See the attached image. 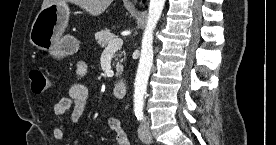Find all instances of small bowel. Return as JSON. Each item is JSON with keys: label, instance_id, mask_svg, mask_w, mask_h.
Returning a JSON list of instances; mask_svg holds the SVG:
<instances>
[{"label": "small bowel", "instance_id": "obj_1", "mask_svg": "<svg viewBox=\"0 0 276 145\" xmlns=\"http://www.w3.org/2000/svg\"><path fill=\"white\" fill-rule=\"evenodd\" d=\"M77 75L83 77L87 72V65L79 63ZM89 99V90L82 83H75L68 91V96L60 99L55 107L54 114L58 117L63 116L69 109H72L67 122L56 128L53 136L57 141H63L67 135L68 128L76 124L82 117ZM107 125L115 134L117 145H130L126 132L122 129L120 121L116 117H109Z\"/></svg>", "mask_w": 276, "mask_h": 145}]
</instances>
